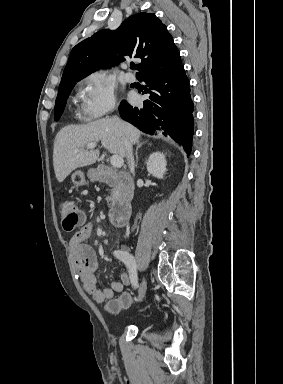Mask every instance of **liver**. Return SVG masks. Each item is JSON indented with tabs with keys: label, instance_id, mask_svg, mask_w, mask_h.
I'll use <instances>...</instances> for the list:
<instances>
[{
	"label": "liver",
	"instance_id": "1",
	"mask_svg": "<svg viewBox=\"0 0 283 384\" xmlns=\"http://www.w3.org/2000/svg\"><path fill=\"white\" fill-rule=\"evenodd\" d=\"M140 136L137 128L119 118H102L85 126H65L58 132L54 142L53 166L58 182H64L76 168L95 164L100 152L85 150L87 144L101 142L110 154L125 158L124 138L130 144H135Z\"/></svg>",
	"mask_w": 283,
	"mask_h": 384
}]
</instances>
